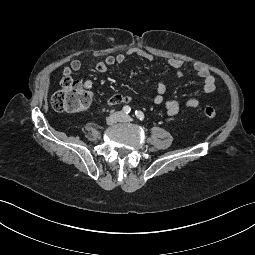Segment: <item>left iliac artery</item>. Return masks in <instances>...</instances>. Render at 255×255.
Returning <instances> with one entry per match:
<instances>
[{"label": "left iliac artery", "mask_w": 255, "mask_h": 255, "mask_svg": "<svg viewBox=\"0 0 255 255\" xmlns=\"http://www.w3.org/2000/svg\"><path fill=\"white\" fill-rule=\"evenodd\" d=\"M135 115H136V117L140 120V121H143L144 120V114H143V112H141V111H135Z\"/></svg>", "instance_id": "44dca946"}]
</instances>
